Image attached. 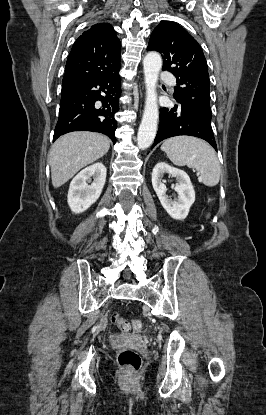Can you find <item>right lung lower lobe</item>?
I'll list each match as a JSON object with an SVG mask.
<instances>
[{
    "mask_svg": "<svg viewBox=\"0 0 266 415\" xmlns=\"http://www.w3.org/2000/svg\"><path fill=\"white\" fill-rule=\"evenodd\" d=\"M120 70V69H119ZM119 70L62 88L59 118L53 141L72 131H93L116 141L120 96Z\"/></svg>",
    "mask_w": 266,
    "mask_h": 415,
    "instance_id": "obj_1",
    "label": "right lung lower lobe"
}]
</instances>
